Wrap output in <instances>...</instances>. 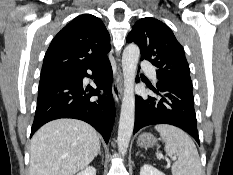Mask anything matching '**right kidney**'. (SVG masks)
Returning <instances> with one entry per match:
<instances>
[{
  "mask_svg": "<svg viewBox=\"0 0 233 175\" xmlns=\"http://www.w3.org/2000/svg\"><path fill=\"white\" fill-rule=\"evenodd\" d=\"M77 175H96V169L93 166H88Z\"/></svg>",
  "mask_w": 233,
  "mask_h": 175,
  "instance_id": "ca27d5eb",
  "label": "right kidney"
}]
</instances>
